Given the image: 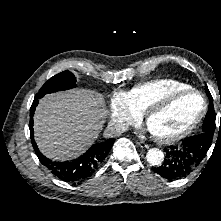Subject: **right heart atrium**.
Masks as SVG:
<instances>
[{
    "instance_id": "obj_1",
    "label": "right heart atrium",
    "mask_w": 221,
    "mask_h": 221,
    "mask_svg": "<svg viewBox=\"0 0 221 221\" xmlns=\"http://www.w3.org/2000/svg\"><path fill=\"white\" fill-rule=\"evenodd\" d=\"M109 124L116 131H123L136 124L140 115L130 107L125 92L115 91L110 100Z\"/></svg>"
}]
</instances>
